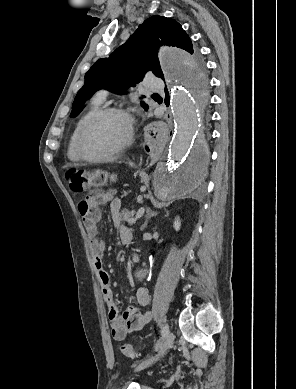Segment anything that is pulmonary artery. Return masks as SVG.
<instances>
[{
	"label": "pulmonary artery",
	"instance_id": "1",
	"mask_svg": "<svg viewBox=\"0 0 296 389\" xmlns=\"http://www.w3.org/2000/svg\"><path fill=\"white\" fill-rule=\"evenodd\" d=\"M145 85L151 91H160L162 89V82L160 80L154 79V78L147 79ZM106 95H107L106 91L100 90L97 93L96 97L101 99V100H104Z\"/></svg>",
	"mask_w": 296,
	"mask_h": 389
}]
</instances>
